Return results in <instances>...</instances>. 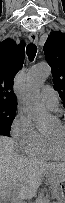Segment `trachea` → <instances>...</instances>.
Instances as JSON below:
<instances>
[{"label": "trachea", "mask_w": 65, "mask_h": 203, "mask_svg": "<svg viewBox=\"0 0 65 203\" xmlns=\"http://www.w3.org/2000/svg\"><path fill=\"white\" fill-rule=\"evenodd\" d=\"M36 52H37L36 45L34 43L28 44V46L26 47V54L30 61H33V59L35 58Z\"/></svg>", "instance_id": "obj_1"}]
</instances>
